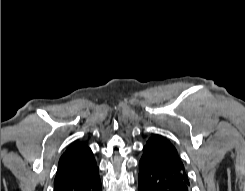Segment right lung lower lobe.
Wrapping results in <instances>:
<instances>
[{"mask_svg": "<svg viewBox=\"0 0 245 191\" xmlns=\"http://www.w3.org/2000/svg\"><path fill=\"white\" fill-rule=\"evenodd\" d=\"M98 171L96 165L87 173L55 186L54 191H102Z\"/></svg>", "mask_w": 245, "mask_h": 191, "instance_id": "obj_1", "label": "right lung lower lobe"}]
</instances>
